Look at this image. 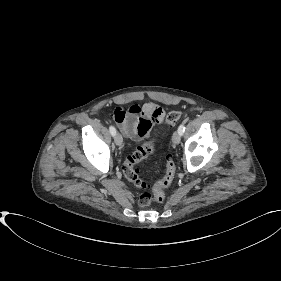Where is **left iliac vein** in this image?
<instances>
[{"instance_id":"obj_1","label":"left iliac vein","mask_w":281,"mask_h":281,"mask_svg":"<svg viewBox=\"0 0 281 281\" xmlns=\"http://www.w3.org/2000/svg\"><path fill=\"white\" fill-rule=\"evenodd\" d=\"M181 140V134L178 131H175L173 136H172V141L174 144H179Z\"/></svg>"}]
</instances>
